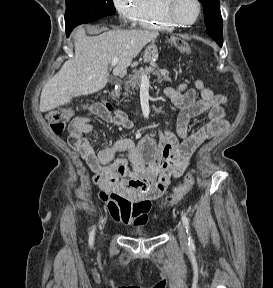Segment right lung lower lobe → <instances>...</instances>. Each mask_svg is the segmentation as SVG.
<instances>
[{
	"label": "right lung lower lobe",
	"instance_id": "98d812e1",
	"mask_svg": "<svg viewBox=\"0 0 273 288\" xmlns=\"http://www.w3.org/2000/svg\"><path fill=\"white\" fill-rule=\"evenodd\" d=\"M66 33H67V36H69L70 33L68 31H66Z\"/></svg>",
	"mask_w": 273,
	"mask_h": 288
}]
</instances>
